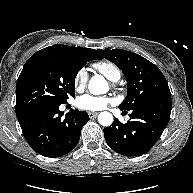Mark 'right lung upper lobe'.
I'll return each mask as SVG.
<instances>
[{
    "mask_svg": "<svg viewBox=\"0 0 193 193\" xmlns=\"http://www.w3.org/2000/svg\"><path fill=\"white\" fill-rule=\"evenodd\" d=\"M35 54H65L90 60L102 59L101 55L99 54V51L95 49L60 44L46 47L40 51H37Z\"/></svg>",
    "mask_w": 193,
    "mask_h": 193,
    "instance_id": "cb5924a9",
    "label": "right lung upper lobe"
}]
</instances>
